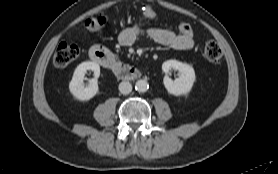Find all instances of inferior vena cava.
Here are the masks:
<instances>
[{
	"label": "inferior vena cava",
	"mask_w": 278,
	"mask_h": 174,
	"mask_svg": "<svg viewBox=\"0 0 278 174\" xmlns=\"http://www.w3.org/2000/svg\"><path fill=\"white\" fill-rule=\"evenodd\" d=\"M119 91L122 94H129L132 91V85L129 82L123 81L119 84Z\"/></svg>",
	"instance_id": "obj_1"
}]
</instances>
